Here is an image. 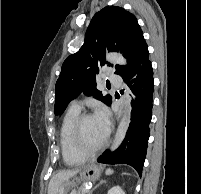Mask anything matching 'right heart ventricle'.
Listing matches in <instances>:
<instances>
[{
    "label": "right heart ventricle",
    "instance_id": "e07e8e85",
    "mask_svg": "<svg viewBox=\"0 0 201 194\" xmlns=\"http://www.w3.org/2000/svg\"><path fill=\"white\" fill-rule=\"evenodd\" d=\"M80 115V109L70 107L65 113L59 132V143L62 158L65 164L75 166L85 162V156L81 155L73 144V126Z\"/></svg>",
    "mask_w": 201,
    "mask_h": 194
}]
</instances>
